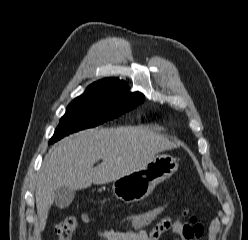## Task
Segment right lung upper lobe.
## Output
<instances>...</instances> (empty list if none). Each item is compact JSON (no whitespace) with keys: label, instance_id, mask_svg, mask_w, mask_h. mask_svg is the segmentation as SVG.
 Segmentation results:
<instances>
[{"label":"right lung upper lobe","instance_id":"cb5924a9","mask_svg":"<svg viewBox=\"0 0 248 240\" xmlns=\"http://www.w3.org/2000/svg\"><path fill=\"white\" fill-rule=\"evenodd\" d=\"M125 84L126 83L124 81H120L117 78H105L97 82H94L87 88V90L89 89L113 90Z\"/></svg>","mask_w":248,"mask_h":240}]
</instances>
